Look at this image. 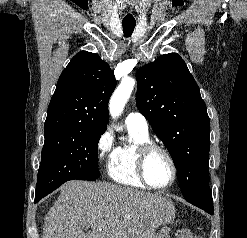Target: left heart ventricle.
<instances>
[{
    "label": "left heart ventricle",
    "mask_w": 247,
    "mask_h": 238,
    "mask_svg": "<svg viewBox=\"0 0 247 238\" xmlns=\"http://www.w3.org/2000/svg\"><path fill=\"white\" fill-rule=\"evenodd\" d=\"M146 175L150 183L156 186L166 185L172 177L171 165L160 151H153L146 162Z\"/></svg>",
    "instance_id": "obj_1"
}]
</instances>
